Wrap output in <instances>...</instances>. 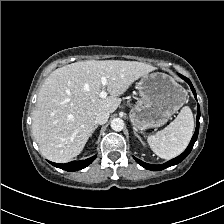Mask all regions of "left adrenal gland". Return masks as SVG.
Listing matches in <instances>:
<instances>
[{"label": "left adrenal gland", "mask_w": 224, "mask_h": 224, "mask_svg": "<svg viewBox=\"0 0 224 224\" xmlns=\"http://www.w3.org/2000/svg\"><path fill=\"white\" fill-rule=\"evenodd\" d=\"M134 134L141 141V137L136 132H134Z\"/></svg>", "instance_id": "left-adrenal-gland-1"}]
</instances>
